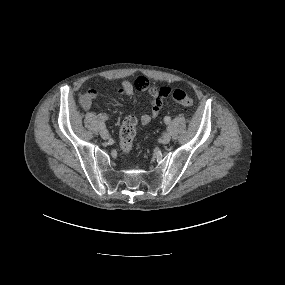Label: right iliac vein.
<instances>
[{
    "instance_id": "right-iliac-vein-1",
    "label": "right iliac vein",
    "mask_w": 285,
    "mask_h": 285,
    "mask_svg": "<svg viewBox=\"0 0 285 285\" xmlns=\"http://www.w3.org/2000/svg\"><path fill=\"white\" fill-rule=\"evenodd\" d=\"M100 135L103 139H108L110 137L109 132L106 129H102Z\"/></svg>"
}]
</instances>
